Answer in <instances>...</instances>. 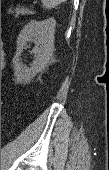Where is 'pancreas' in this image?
Listing matches in <instances>:
<instances>
[{"instance_id":"cf45deb5","label":"pancreas","mask_w":109,"mask_h":170,"mask_svg":"<svg viewBox=\"0 0 109 170\" xmlns=\"http://www.w3.org/2000/svg\"><path fill=\"white\" fill-rule=\"evenodd\" d=\"M33 13L32 9L31 8H28L26 6H19L15 9V17H18V16H23V15H28V14H31Z\"/></svg>"}]
</instances>
